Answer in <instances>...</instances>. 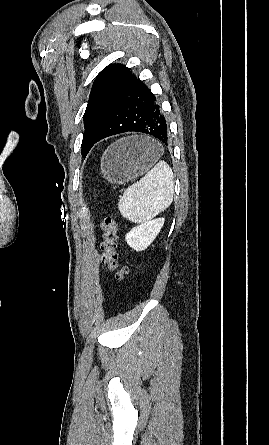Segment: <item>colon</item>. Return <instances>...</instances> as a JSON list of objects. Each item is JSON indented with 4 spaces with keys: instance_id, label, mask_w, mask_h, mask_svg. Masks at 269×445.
<instances>
[{
    "instance_id": "obj_1",
    "label": "colon",
    "mask_w": 269,
    "mask_h": 445,
    "mask_svg": "<svg viewBox=\"0 0 269 445\" xmlns=\"http://www.w3.org/2000/svg\"><path fill=\"white\" fill-rule=\"evenodd\" d=\"M100 228L103 233L101 242V258L103 264L113 272L119 281H124L129 274L127 266H120L118 263V224L111 216H104L100 221Z\"/></svg>"
}]
</instances>
